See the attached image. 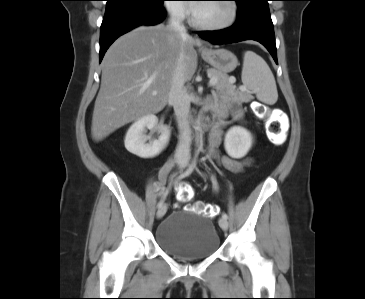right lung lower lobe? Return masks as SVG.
<instances>
[{
	"instance_id": "right-lung-lower-lobe-1",
	"label": "right lung lower lobe",
	"mask_w": 365,
	"mask_h": 299,
	"mask_svg": "<svg viewBox=\"0 0 365 299\" xmlns=\"http://www.w3.org/2000/svg\"><path fill=\"white\" fill-rule=\"evenodd\" d=\"M165 17L163 3H125L106 8L100 29V62L109 46L119 36L140 25L158 24Z\"/></svg>"
}]
</instances>
